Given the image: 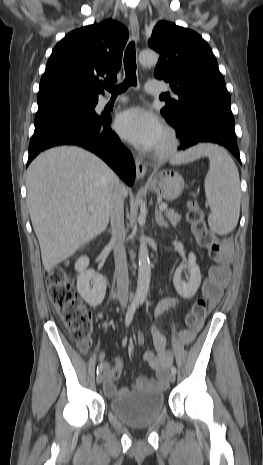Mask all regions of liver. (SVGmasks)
Masks as SVG:
<instances>
[{"label":"liver","instance_id":"6515ba94","mask_svg":"<svg viewBox=\"0 0 263 465\" xmlns=\"http://www.w3.org/2000/svg\"><path fill=\"white\" fill-rule=\"evenodd\" d=\"M120 185L100 158L79 147H55L31 162L27 204L47 271L107 228L111 199Z\"/></svg>","mask_w":263,"mask_h":465}]
</instances>
